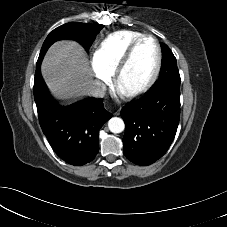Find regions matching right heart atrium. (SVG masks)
<instances>
[{"mask_svg": "<svg viewBox=\"0 0 227 227\" xmlns=\"http://www.w3.org/2000/svg\"><path fill=\"white\" fill-rule=\"evenodd\" d=\"M91 68L97 85L104 87L109 83L111 74L97 62L95 57L91 60Z\"/></svg>", "mask_w": 227, "mask_h": 227, "instance_id": "1", "label": "right heart atrium"}]
</instances>
